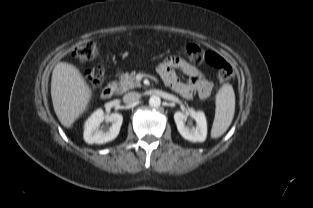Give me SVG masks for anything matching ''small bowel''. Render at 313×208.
<instances>
[{
  "label": "small bowel",
  "mask_w": 313,
  "mask_h": 208,
  "mask_svg": "<svg viewBox=\"0 0 313 208\" xmlns=\"http://www.w3.org/2000/svg\"><path fill=\"white\" fill-rule=\"evenodd\" d=\"M180 69L188 76L186 82H182L175 70ZM158 72L163 81L175 92L185 99L198 94L201 98H207L213 88V84L194 66L178 57H169L158 66Z\"/></svg>",
  "instance_id": "1"
}]
</instances>
